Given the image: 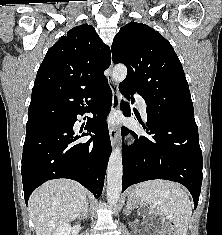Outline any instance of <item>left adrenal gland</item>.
<instances>
[{
  "instance_id": "1",
  "label": "left adrenal gland",
  "mask_w": 222,
  "mask_h": 235,
  "mask_svg": "<svg viewBox=\"0 0 222 235\" xmlns=\"http://www.w3.org/2000/svg\"><path fill=\"white\" fill-rule=\"evenodd\" d=\"M128 208H129V204L127 205V209H126V210H127V212H128Z\"/></svg>"
}]
</instances>
